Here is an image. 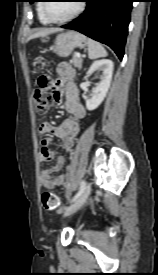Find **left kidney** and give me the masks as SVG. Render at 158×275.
Listing matches in <instances>:
<instances>
[{
    "label": "left kidney",
    "mask_w": 158,
    "mask_h": 275,
    "mask_svg": "<svg viewBox=\"0 0 158 275\" xmlns=\"http://www.w3.org/2000/svg\"><path fill=\"white\" fill-rule=\"evenodd\" d=\"M113 66V62L110 59H102L92 63L88 69L87 75L92 74L96 70L102 71V76L94 88L92 97L85 100V105L88 110L96 109L106 97L112 79Z\"/></svg>",
    "instance_id": "left-kidney-1"
}]
</instances>
